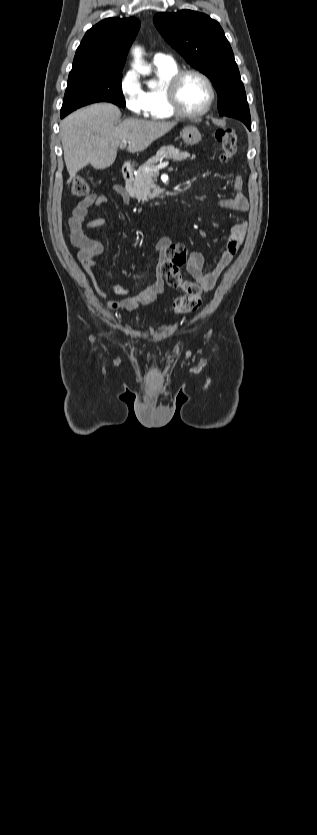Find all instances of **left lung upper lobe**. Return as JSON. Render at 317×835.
I'll use <instances>...</instances> for the list:
<instances>
[{"mask_svg":"<svg viewBox=\"0 0 317 835\" xmlns=\"http://www.w3.org/2000/svg\"><path fill=\"white\" fill-rule=\"evenodd\" d=\"M154 24L164 39L195 69L210 78L220 115L250 121L243 82L233 51L219 23L204 13H158Z\"/></svg>","mask_w":317,"mask_h":835,"instance_id":"obj_1","label":"left lung upper lobe"}]
</instances>
